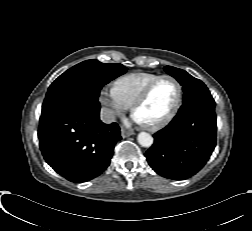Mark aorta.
I'll return each instance as SVG.
<instances>
[{"label": "aorta", "instance_id": "762f6f07", "mask_svg": "<svg viewBox=\"0 0 252 231\" xmlns=\"http://www.w3.org/2000/svg\"><path fill=\"white\" fill-rule=\"evenodd\" d=\"M137 140L143 147H150L153 144V137L147 132H140L137 136Z\"/></svg>", "mask_w": 252, "mask_h": 231}]
</instances>
